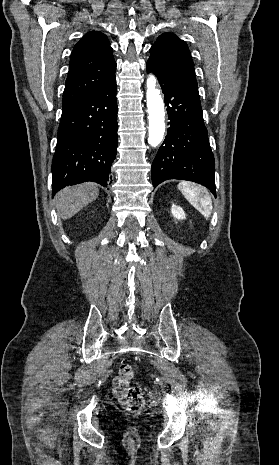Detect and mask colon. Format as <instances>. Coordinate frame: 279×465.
I'll return each mask as SVG.
<instances>
[{
  "mask_svg": "<svg viewBox=\"0 0 279 465\" xmlns=\"http://www.w3.org/2000/svg\"><path fill=\"white\" fill-rule=\"evenodd\" d=\"M133 375V368L127 363H122L119 366L117 376L113 380L115 397L118 399L120 404L130 412L140 410L145 403L142 390L130 383Z\"/></svg>",
  "mask_w": 279,
  "mask_h": 465,
  "instance_id": "obj_1",
  "label": "colon"
}]
</instances>
